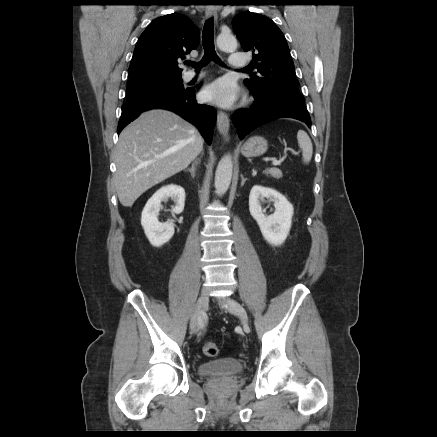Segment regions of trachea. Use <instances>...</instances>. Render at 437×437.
I'll return each mask as SVG.
<instances>
[{"mask_svg": "<svg viewBox=\"0 0 437 437\" xmlns=\"http://www.w3.org/2000/svg\"><path fill=\"white\" fill-rule=\"evenodd\" d=\"M202 42L204 48V56L201 62H191L187 61L186 65L194 67L197 71L200 70L203 66H206L211 60L220 63L221 61L216 55L215 47H214V20L210 18L206 21L203 32H202Z\"/></svg>", "mask_w": 437, "mask_h": 437, "instance_id": "3493384b", "label": "trachea"}]
</instances>
